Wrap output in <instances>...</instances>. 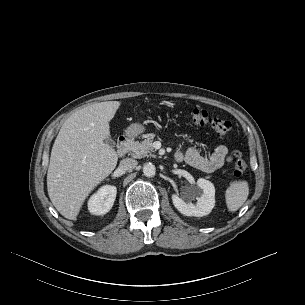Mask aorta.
Wrapping results in <instances>:
<instances>
[{
	"label": "aorta",
	"mask_w": 305,
	"mask_h": 305,
	"mask_svg": "<svg viewBox=\"0 0 305 305\" xmlns=\"http://www.w3.org/2000/svg\"><path fill=\"white\" fill-rule=\"evenodd\" d=\"M143 173L146 177H153L156 173L155 165L152 163H145L143 165Z\"/></svg>",
	"instance_id": "762f6f07"
}]
</instances>
